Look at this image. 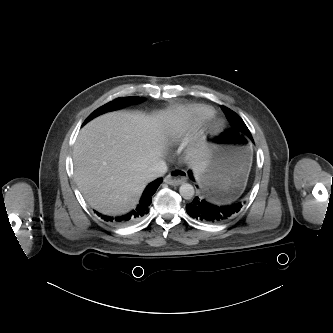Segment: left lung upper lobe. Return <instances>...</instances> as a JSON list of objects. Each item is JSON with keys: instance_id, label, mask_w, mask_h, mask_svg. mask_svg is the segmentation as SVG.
Instances as JSON below:
<instances>
[{"instance_id": "left-lung-upper-lobe-1", "label": "left lung upper lobe", "mask_w": 333, "mask_h": 333, "mask_svg": "<svg viewBox=\"0 0 333 333\" xmlns=\"http://www.w3.org/2000/svg\"><path fill=\"white\" fill-rule=\"evenodd\" d=\"M222 108L225 111L227 118L231 124V132L236 136H240L242 138L248 137L253 140L249 129L247 128L241 117H239L235 112L225 106H222Z\"/></svg>"}]
</instances>
